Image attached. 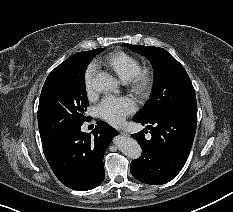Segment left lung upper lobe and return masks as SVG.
Listing matches in <instances>:
<instances>
[{"label":"left lung upper lobe","instance_id":"obj_1","mask_svg":"<svg viewBox=\"0 0 233 212\" xmlns=\"http://www.w3.org/2000/svg\"><path fill=\"white\" fill-rule=\"evenodd\" d=\"M126 46L148 58L154 69L151 97L134 118L146 119L167 111L197 116L195 90L190 78L168 51L152 46Z\"/></svg>","mask_w":233,"mask_h":212}]
</instances>
